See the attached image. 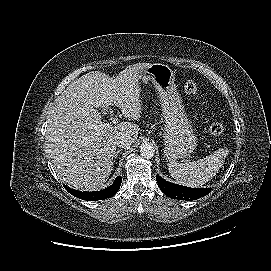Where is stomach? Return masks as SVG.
Masks as SVG:
<instances>
[{"instance_id": "stomach-1", "label": "stomach", "mask_w": 271, "mask_h": 271, "mask_svg": "<svg viewBox=\"0 0 271 271\" xmlns=\"http://www.w3.org/2000/svg\"><path fill=\"white\" fill-rule=\"evenodd\" d=\"M149 81L159 95L165 121L164 153L169 161L183 159L195 150L197 137L177 91L174 71L165 64H151L141 75V82Z\"/></svg>"}]
</instances>
